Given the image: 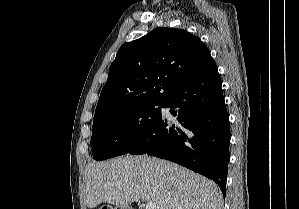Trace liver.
<instances>
[{
    "label": "liver",
    "mask_w": 299,
    "mask_h": 209,
    "mask_svg": "<svg viewBox=\"0 0 299 209\" xmlns=\"http://www.w3.org/2000/svg\"><path fill=\"white\" fill-rule=\"evenodd\" d=\"M85 196L90 209L104 202L124 207L140 199L156 209H222V193L213 181L148 155L89 163Z\"/></svg>",
    "instance_id": "liver-1"
}]
</instances>
